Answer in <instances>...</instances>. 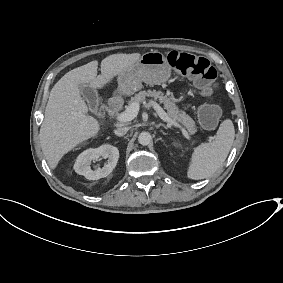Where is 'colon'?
<instances>
[{
  "label": "colon",
  "instance_id": "5ec220e1",
  "mask_svg": "<svg viewBox=\"0 0 283 283\" xmlns=\"http://www.w3.org/2000/svg\"><path fill=\"white\" fill-rule=\"evenodd\" d=\"M168 62L178 73L194 79L205 94L213 92L217 71L206 58L186 52L172 51L168 55ZM219 117L220 107L215 103L203 104L198 109V119L207 129L215 127Z\"/></svg>",
  "mask_w": 283,
  "mask_h": 283
}]
</instances>
